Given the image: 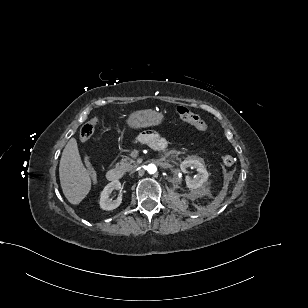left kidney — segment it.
<instances>
[{
	"mask_svg": "<svg viewBox=\"0 0 308 308\" xmlns=\"http://www.w3.org/2000/svg\"><path fill=\"white\" fill-rule=\"evenodd\" d=\"M191 167L197 170L194 179L186 178V185L190 190L201 188L208 179V172L204 165L197 159L189 158L180 164L182 172H186V168Z\"/></svg>",
	"mask_w": 308,
	"mask_h": 308,
	"instance_id": "1",
	"label": "left kidney"
}]
</instances>
